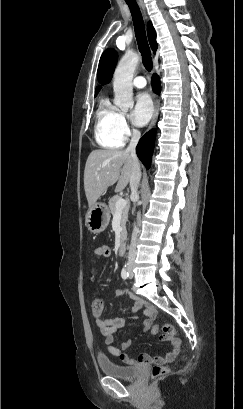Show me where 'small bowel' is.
<instances>
[{"mask_svg": "<svg viewBox=\"0 0 243 409\" xmlns=\"http://www.w3.org/2000/svg\"><path fill=\"white\" fill-rule=\"evenodd\" d=\"M111 249L108 246L101 245L95 249V254L100 259H107L111 256ZM120 294L126 295L129 298L135 299V296L130 290L123 288L120 290ZM140 310H143L145 315V321L143 324V330L145 332L150 331L153 321L156 317L155 307L142 299H135V304L132 308L133 316L135 317ZM94 320L98 326L100 333L107 344V351L110 355L121 359L126 364H145L149 362H154L157 364H166L176 361V359L182 354L181 351V340L173 337L170 334H165L161 338L162 343H166L170 346L169 350L163 356L150 357L149 355H140L137 359L130 357L128 354L123 353L119 348L114 347L111 343L114 340L113 334L124 327V320L119 317H104L101 312L99 314H94ZM132 344L131 339H126L121 342V349H128Z\"/></svg>", "mask_w": 243, "mask_h": 409, "instance_id": "small-bowel-1", "label": "small bowel"}]
</instances>
